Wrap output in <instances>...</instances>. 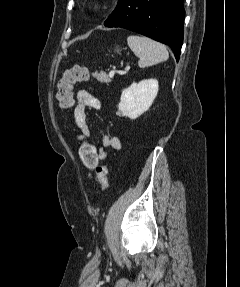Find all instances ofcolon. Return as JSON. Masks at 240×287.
<instances>
[{
  "label": "colon",
  "mask_w": 240,
  "mask_h": 287,
  "mask_svg": "<svg viewBox=\"0 0 240 287\" xmlns=\"http://www.w3.org/2000/svg\"><path fill=\"white\" fill-rule=\"evenodd\" d=\"M90 73L86 67L74 66L67 69L57 84V100L64 109L73 105V88L78 82L89 80ZM79 155L83 165L91 172V180L98 184L102 192L109 188L108 166L99 164L97 147L86 141V137L79 135Z\"/></svg>",
  "instance_id": "obj_1"
}]
</instances>
